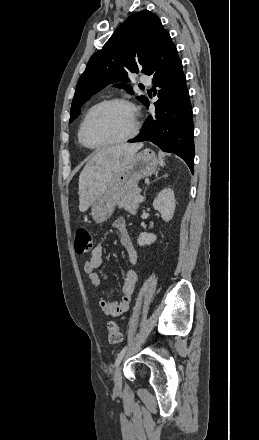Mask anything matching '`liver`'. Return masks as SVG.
<instances>
[{
  "label": "liver",
  "instance_id": "1",
  "mask_svg": "<svg viewBox=\"0 0 259 440\" xmlns=\"http://www.w3.org/2000/svg\"><path fill=\"white\" fill-rule=\"evenodd\" d=\"M143 147L142 143L120 144L97 152L79 176V210L85 212L107 189L119 173Z\"/></svg>",
  "mask_w": 259,
  "mask_h": 440
}]
</instances>
